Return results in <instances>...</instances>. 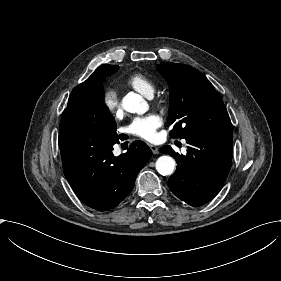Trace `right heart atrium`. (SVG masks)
<instances>
[{
	"mask_svg": "<svg viewBox=\"0 0 281 281\" xmlns=\"http://www.w3.org/2000/svg\"><path fill=\"white\" fill-rule=\"evenodd\" d=\"M102 101L105 106V108L110 111H120V101H119V95L116 89L112 87H108L104 90Z\"/></svg>",
	"mask_w": 281,
	"mask_h": 281,
	"instance_id": "obj_1",
	"label": "right heart atrium"
}]
</instances>
